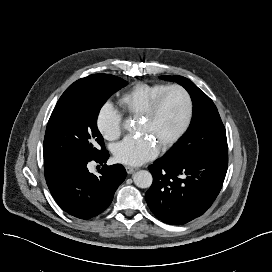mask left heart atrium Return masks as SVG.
I'll list each match as a JSON object with an SVG mask.
<instances>
[{
    "label": "left heart atrium",
    "instance_id": "39dd6f15",
    "mask_svg": "<svg viewBox=\"0 0 272 272\" xmlns=\"http://www.w3.org/2000/svg\"><path fill=\"white\" fill-rule=\"evenodd\" d=\"M158 153V147L148 138L127 137L113 148L116 161L139 166L153 159Z\"/></svg>",
    "mask_w": 272,
    "mask_h": 272
}]
</instances>
